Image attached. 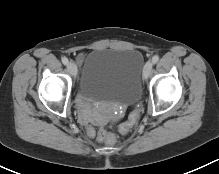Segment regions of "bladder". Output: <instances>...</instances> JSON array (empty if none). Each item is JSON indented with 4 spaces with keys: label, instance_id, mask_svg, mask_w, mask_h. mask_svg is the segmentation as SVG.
<instances>
[{
    "label": "bladder",
    "instance_id": "bladder-1",
    "mask_svg": "<svg viewBox=\"0 0 219 174\" xmlns=\"http://www.w3.org/2000/svg\"><path fill=\"white\" fill-rule=\"evenodd\" d=\"M143 65L136 49H94L84 59L79 93L94 101L135 104L142 95Z\"/></svg>",
    "mask_w": 219,
    "mask_h": 174
}]
</instances>
